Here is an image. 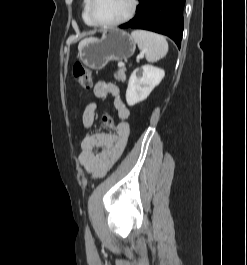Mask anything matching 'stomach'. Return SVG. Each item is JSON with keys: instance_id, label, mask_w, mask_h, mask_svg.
<instances>
[{"instance_id": "obj_1", "label": "stomach", "mask_w": 247, "mask_h": 265, "mask_svg": "<svg viewBox=\"0 0 247 265\" xmlns=\"http://www.w3.org/2000/svg\"><path fill=\"white\" fill-rule=\"evenodd\" d=\"M135 49L136 42L129 33L113 29L104 32L100 39H85L78 47V56L87 67L101 70L110 61H122L130 58Z\"/></svg>"}]
</instances>
